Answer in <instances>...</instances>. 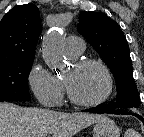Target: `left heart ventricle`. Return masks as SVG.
<instances>
[{"label": "left heart ventricle", "mask_w": 144, "mask_h": 137, "mask_svg": "<svg viewBox=\"0 0 144 137\" xmlns=\"http://www.w3.org/2000/svg\"><path fill=\"white\" fill-rule=\"evenodd\" d=\"M75 98L81 101H93L100 98L106 90L104 73L96 66L83 68L72 66L64 75Z\"/></svg>", "instance_id": "left-heart-ventricle-1"}]
</instances>
